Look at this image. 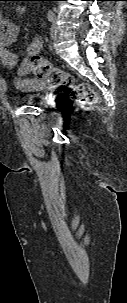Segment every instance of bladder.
<instances>
[{"label": "bladder", "instance_id": "31cf9c89", "mask_svg": "<svg viewBox=\"0 0 127 303\" xmlns=\"http://www.w3.org/2000/svg\"><path fill=\"white\" fill-rule=\"evenodd\" d=\"M38 94H27L21 97L20 102H25L34 105H43L44 103L39 99Z\"/></svg>", "mask_w": 127, "mask_h": 303}]
</instances>
